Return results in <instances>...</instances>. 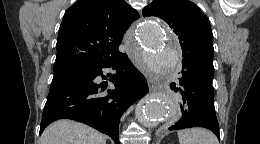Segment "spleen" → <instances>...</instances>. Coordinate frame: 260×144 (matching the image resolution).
<instances>
[{
  "instance_id": "obj_1",
  "label": "spleen",
  "mask_w": 260,
  "mask_h": 144,
  "mask_svg": "<svg viewBox=\"0 0 260 144\" xmlns=\"http://www.w3.org/2000/svg\"><path fill=\"white\" fill-rule=\"evenodd\" d=\"M177 134L180 144H218L217 137L207 129H184Z\"/></svg>"
}]
</instances>
